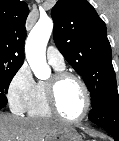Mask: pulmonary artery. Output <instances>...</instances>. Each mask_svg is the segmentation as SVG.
<instances>
[{"mask_svg":"<svg viewBox=\"0 0 119 141\" xmlns=\"http://www.w3.org/2000/svg\"><path fill=\"white\" fill-rule=\"evenodd\" d=\"M46 58L48 62L56 67H64L65 60L63 55L54 46H49L46 50Z\"/></svg>","mask_w":119,"mask_h":141,"instance_id":"1","label":"pulmonary artery"}]
</instances>
